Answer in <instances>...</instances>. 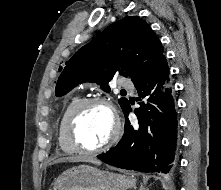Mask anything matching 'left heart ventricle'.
<instances>
[{
  "mask_svg": "<svg viewBox=\"0 0 221 190\" xmlns=\"http://www.w3.org/2000/svg\"><path fill=\"white\" fill-rule=\"evenodd\" d=\"M113 127L110 110L104 105L95 104L82 114L78 124V138L85 147L95 148L110 138Z\"/></svg>",
  "mask_w": 221,
  "mask_h": 190,
  "instance_id": "obj_1",
  "label": "left heart ventricle"
}]
</instances>
